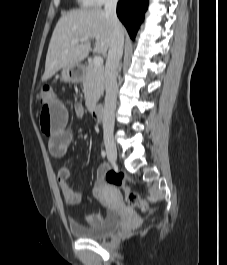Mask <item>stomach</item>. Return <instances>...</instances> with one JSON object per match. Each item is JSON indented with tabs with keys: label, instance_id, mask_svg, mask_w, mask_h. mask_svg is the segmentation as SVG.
Here are the masks:
<instances>
[{
	"label": "stomach",
	"instance_id": "obj_1",
	"mask_svg": "<svg viewBox=\"0 0 227 265\" xmlns=\"http://www.w3.org/2000/svg\"><path fill=\"white\" fill-rule=\"evenodd\" d=\"M84 78V70L81 65L68 66L61 71L60 79L67 83H79Z\"/></svg>",
	"mask_w": 227,
	"mask_h": 265
}]
</instances>
